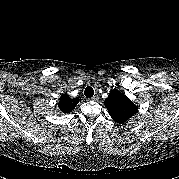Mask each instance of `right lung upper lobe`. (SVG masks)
<instances>
[{
	"label": "right lung upper lobe",
	"instance_id": "cb5924a9",
	"mask_svg": "<svg viewBox=\"0 0 179 179\" xmlns=\"http://www.w3.org/2000/svg\"><path fill=\"white\" fill-rule=\"evenodd\" d=\"M78 102L79 98H70L66 94L62 95L58 103L59 111L64 114L69 113L76 107Z\"/></svg>",
	"mask_w": 179,
	"mask_h": 179
}]
</instances>
